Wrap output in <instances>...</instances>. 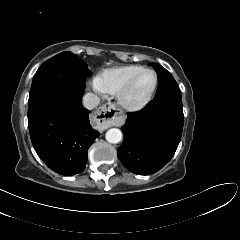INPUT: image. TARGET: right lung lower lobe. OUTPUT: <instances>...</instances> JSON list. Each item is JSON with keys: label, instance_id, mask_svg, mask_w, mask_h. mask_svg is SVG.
I'll return each instance as SVG.
<instances>
[{"label": "right lung lower lobe", "instance_id": "98d812e1", "mask_svg": "<svg viewBox=\"0 0 240 240\" xmlns=\"http://www.w3.org/2000/svg\"><path fill=\"white\" fill-rule=\"evenodd\" d=\"M85 88L55 86L29 101L28 126L33 147L43 162L61 175L85 169L87 151L99 132L81 103Z\"/></svg>", "mask_w": 240, "mask_h": 240}]
</instances>
